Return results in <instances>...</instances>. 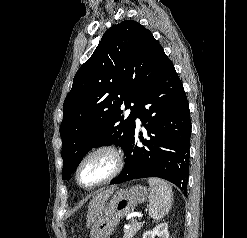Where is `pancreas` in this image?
<instances>
[{
	"instance_id": "cf45deb5",
	"label": "pancreas",
	"mask_w": 247,
	"mask_h": 238,
	"mask_svg": "<svg viewBox=\"0 0 247 238\" xmlns=\"http://www.w3.org/2000/svg\"><path fill=\"white\" fill-rule=\"evenodd\" d=\"M143 223H139L136 220H132L131 223L128 224V228L124 229V237L123 238H133L134 235L141 229Z\"/></svg>"
}]
</instances>
